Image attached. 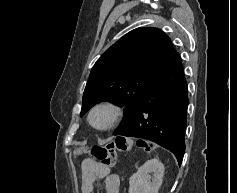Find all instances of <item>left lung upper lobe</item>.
<instances>
[{"mask_svg":"<svg viewBox=\"0 0 237 193\" xmlns=\"http://www.w3.org/2000/svg\"><path fill=\"white\" fill-rule=\"evenodd\" d=\"M177 52L160 29L141 27L124 35L93 66L86 84L80 116L102 101L124 108L114 135L132 120L149 86L170 64Z\"/></svg>","mask_w":237,"mask_h":193,"instance_id":"left-lung-upper-lobe-1","label":"left lung upper lobe"}]
</instances>
